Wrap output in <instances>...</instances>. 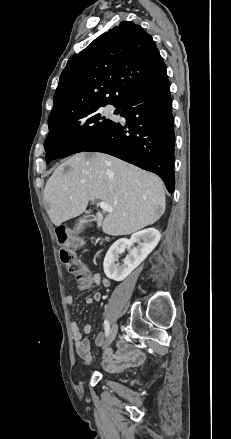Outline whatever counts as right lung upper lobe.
I'll return each mask as SVG.
<instances>
[{
	"mask_svg": "<svg viewBox=\"0 0 231 439\" xmlns=\"http://www.w3.org/2000/svg\"><path fill=\"white\" fill-rule=\"evenodd\" d=\"M166 80L152 37L133 22H121L69 58L48 121L107 104L121 109L134 95Z\"/></svg>",
	"mask_w": 231,
	"mask_h": 439,
	"instance_id": "right-lung-upper-lobe-1",
	"label": "right lung upper lobe"
}]
</instances>
